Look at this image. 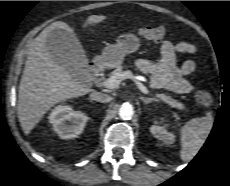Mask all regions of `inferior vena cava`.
I'll return each mask as SVG.
<instances>
[{
	"instance_id": "obj_1",
	"label": "inferior vena cava",
	"mask_w": 230,
	"mask_h": 186,
	"mask_svg": "<svg viewBox=\"0 0 230 186\" xmlns=\"http://www.w3.org/2000/svg\"><path fill=\"white\" fill-rule=\"evenodd\" d=\"M90 98H91V100H95V101H98V102H101V103H108L112 99L109 95L103 94L101 92H93L90 95Z\"/></svg>"
}]
</instances>
